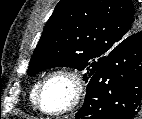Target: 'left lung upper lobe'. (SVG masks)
<instances>
[{"mask_svg": "<svg viewBox=\"0 0 142 119\" xmlns=\"http://www.w3.org/2000/svg\"><path fill=\"white\" fill-rule=\"evenodd\" d=\"M141 24L132 0H61L33 52L28 75L53 67L85 71L88 82L109 52Z\"/></svg>", "mask_w": 142, "mask_h": 119, "instance_id": "left-lung-upper-lobe-1", "label": "left lung upper lobe"}]
</instances>
